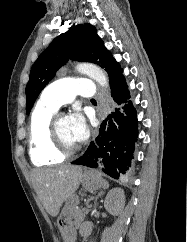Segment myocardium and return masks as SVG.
<instances>
[{"mask_svg":"<svg viewBox=\"0 0 187 242\" xmlns=\"http://www.w3.org/2000/svg\"><path fill=\"white\" fill-rule=\"evenodd\" d=\"M62 114H54L53 117L50 120L49 126H48V140L51 149L58 155L66 158L74 155L77 153L80 149L79 146H75L74 148L71 149H66L64 148L58 139L57 135V122L60 118H62Z\"/></svg>","mask_w":187,"mask_h":242,"instance_id":"obj_1","label":"myocardium"}]
</instances>
